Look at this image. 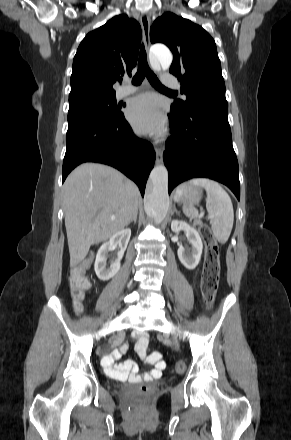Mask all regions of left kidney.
<instances>
[{
	"instance_id": "5707ae66",
	"label": "left kidney",
	"mask_w": 291,
	"mask_h": 440,
	"mask_svg": "<svg viewBox=\"0 0 291 440\" xmlns=\"http://www.w3.org/2000/svg\"><path fill=\"white\" fill-rule=\"evenodd\" d=\"M171 230L175 233L181 230L185 232L186 237L191 244V250L186 251L182 246H179L177 251L178 258L187 269L192 270L196 268L201 259L203 250V243L199 233L194 227L190 226L185 221L178 220L172 221Z\"/></svg>"
}]
</instances>
